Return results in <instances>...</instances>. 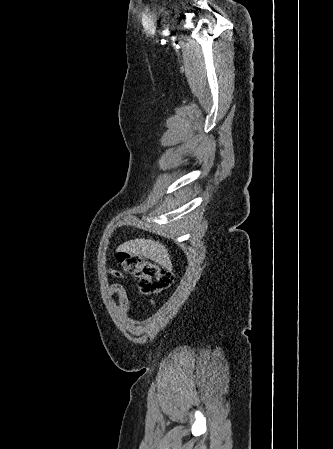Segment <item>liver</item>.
<instances>
[{
    "label": "liver",
    "instance_id": "liver-1",
    "mask_svg": "<svg viewBox=\"0 0 333 449\" xmlns=\"http://www.w3.org/2000/svg\"><path fill=\"white\" fill-rule=\"evenodd\" d=\"M123 251L130 254L143 255L164 267L171 266L168 250L158 241L146 239L130 240L117 248V252Z\"/></svg>",
    "mask_w": 333,
    "mask_h": 449
}]
</instances>
